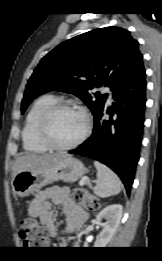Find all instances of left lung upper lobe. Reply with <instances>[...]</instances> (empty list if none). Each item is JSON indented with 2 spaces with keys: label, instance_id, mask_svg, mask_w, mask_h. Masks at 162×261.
<instances>
[{
  "label": "left lung upper lobe",
  "instance_id": "1",
  "mask_svg": "<svg viewBox=\"0 0 162 261\" xmlns=\"http://www.w3.org/2000/svg\"><path fill=\"white\" fill-rule=\"evenodd\" d=\"M137 40L120 27L94 29L69 39L42 58L30 77L21 103L23 114L36 97L52 91L71 93L93 115L105 104L107 94L91 91L102 85L111 89L142 62Z\"/></svg>",
  "mask_w": 162,
  "mask_h": 261
}]
</instances>
